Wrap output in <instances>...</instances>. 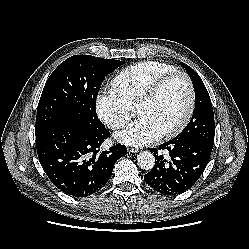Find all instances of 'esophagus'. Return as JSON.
Listing matches in <instances>:
<instances>
[{
  "label": "esophagus",
  "mask_w": 249,
  "mask_h": 249,
  "mask_svg": "<svg viewBox=\"0 0 249 249\" xmlns=\"http://www.w3.org/2000/svg\"><path fill=\"white\" fill-rule=\"evenodd\" d=\"M128 152H130V153H138V152H139V149L133 148V147H129V148H128Z\"/></svg>",
  "instance_id": "obj_1"
}]
</instances>
